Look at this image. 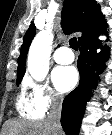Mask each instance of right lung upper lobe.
<instances>
[{"label":"right lung upper lobe","mask_w":112,"mask_h":135,"mask_svg":"<svg viewBox=\"0 0 112 135\" xmlns=\"http://www.w3.org/2000/svg\"><path fill=\"white\" fill-rule=\"evenodd\" d=\"M62 27L66 34L81 32L79 43L91 39L107 28V23L100 11V5L95 0H65L62 11ZM35 36V26L31 24L27 30L21 46L18 59L17 79L23 78L25 73L26 55L30 43Z\"/></svg>","instance_id":"1"}]
</instances>
